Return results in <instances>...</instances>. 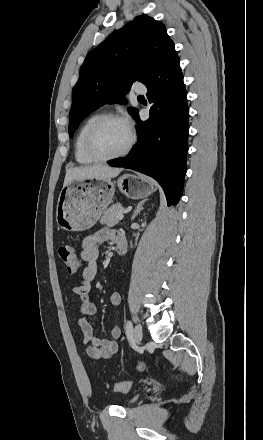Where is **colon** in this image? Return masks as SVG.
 Masks as SVG:
<instances>
[{"label": "colon", "mask_w": 263, "mask_h": 440, "mask_svg": "<svg viewBox=\"0 0 263 440\" xmlns=\"http://www.w3.org/2000/svg\"><path fill=\"white\" fill-rule=\"evenodd\" d=\"M59 256L70 273H76L80 270L81 264L76 255L75 248L70 244H63L59 247ZM115 392H128L131 384L129 382H120L107 384Z\"/></svg>", "instance_id": "colon-1"}]
</instances>
